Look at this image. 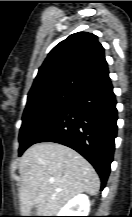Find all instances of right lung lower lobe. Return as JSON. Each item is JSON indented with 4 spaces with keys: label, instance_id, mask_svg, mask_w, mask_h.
I'll return each instance as SVG.
<instances>
[{
    "label": "right lung lower lobe",
    "instance_id": "98d812e1",
    "mask_svg": "<svg viewBox=\"0 0 132 217\" xmlns=\"http://www.w3.org/2000/svg\"><path fill=\"white\" fill-rule=\"evenodd\" d=\"M116 122V99L109 81L77 95L35 143L56 142L79 152L96 169L103 190L113 159Z\"/></svg>",
    "mask_w": 132,
    "mask_h": 217
}]
</instances>
